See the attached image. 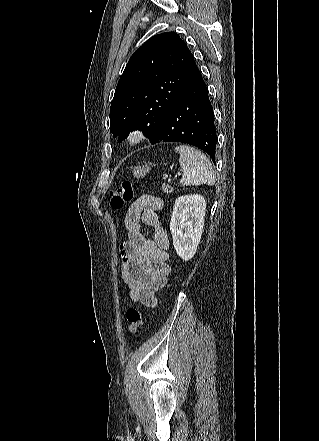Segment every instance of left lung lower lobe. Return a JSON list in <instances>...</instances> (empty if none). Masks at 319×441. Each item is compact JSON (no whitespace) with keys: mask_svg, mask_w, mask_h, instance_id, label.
Segmentation results:
<instances>
[{"mask_svg":"<svg viewBox=\"0 0 319 441\" xmlns=\"http://www.w3.org/2000/svg\"><path fill=\"white\" fill-rule=\"evenodd\" d=\"M121 142V138L118 139ZM181 142L194 145L215 160L217 133L208 88L197 69L171 107L161 130L151 142Z\"/></svg>","mask_w":319,"mask_h":441,"instance_id":"0a47b994","label":"left lung lower lobe"}]
</instances>
